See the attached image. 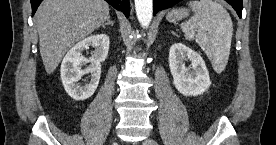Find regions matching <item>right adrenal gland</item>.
I'll use <instances>...</instances> for the list:
<instances>
[{"label":"right adrenal gland","instance_id":"2a0ac1e0","mask_svg":"<svg viewBox=\"0 0 276 145\" xmlns=\"http://www.w3.org/2000/svg\"><path fill=\"white\" fill-rule=\"evenodd\" d=\"M106 25H114V22L110 19V17L107 19V22L105 24L102 25L103 28H105Z\"/></svg>","mask_w":276,"mask_h":145}]
</instances>
